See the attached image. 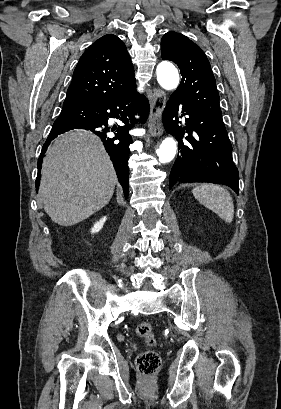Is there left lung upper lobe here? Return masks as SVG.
<instances>
[{
  "instance_id": "obj_1",
  "label": "left lung upper lobe",
  "mask_w": 281,
  "mask_h": 409,
  "mask_svg": "<svg viewBox=\"0 0 281 409\" xmlns=\"http://www.w3.org/2000/svg\"><path fill=\"white\" fill-rule=\"evenodd\" d=\"M161 50L162 59L175 62L181 70L182 80L174 94L222 119L216 81L201 48L186 36L170 31L162 37Z\"/></svg>"
}]
</instances>
